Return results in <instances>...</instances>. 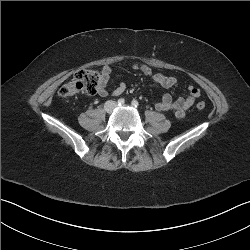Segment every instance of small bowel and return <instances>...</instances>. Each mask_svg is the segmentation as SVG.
Segmentation results:
<instances>
[{
    "instance_id": "obj_1",
    "label": "small bowel",
    "mask_w": 250,
    "mask_h": 250,
    "mask_svg": "<svg viewBox=\"0 0 250 250\" xmlns=\"http://www.w3.org/2000/svg\"><path fill=\"white\" fill-rule=\"evenodd\" d=\"M132 68L149 77L153 84H158L164 88H172L177 84L176 77L155 73L145 64H134ZM111 82L112 69L110 66L105 65L101 70V82L97 88V94L101 97H106L108 95L119 96L125 91L126 85L124 83H120L114 90L109 92L107 86ZM199 96L200 90L195 86H189L185 97L173 100L170 94H164L161 99L154 104V107L158 111H171L176 117L183 118Z\"/></svg>"
}]
</instances>
